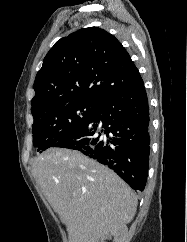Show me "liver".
Segmentation results:
<instances>
[{
	"label": "liver",
	"instance_id": "obj_1",
	"mask_svg": "<svg viewBox=\"0 0 187 242\" xmlns=\"http://www.w3.org/2000/svg\"><path fill=\"white\" fill-rule=\"evenodd\" d=\"M32 174L66 225L69 242H90L130 223L137 197L112 170L78 151L51 148Z\"/></svg>",
	"mask_w": 187,
	"mask_h": 242
}]
</instances>
